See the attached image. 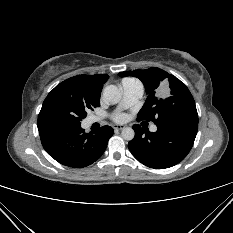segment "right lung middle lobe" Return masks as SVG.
<instances>
[{"label": "right lung middle lobe", "mask_w": 233, "mask_h": 233, "mask_svg": "<svg viewBox=\"0 0 233 233\" xmlns=\"http://www.w3.org/2000/svg\"><path fill=\"white\" fill-rule=\"evenodd\" d=\"M100 94L89 92L69 79L58 84L46 97L38 116V129L78 127L89 109L100 106Z\"/></svg>", "instance_id": "obj_1"}]
</instances>
